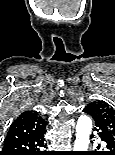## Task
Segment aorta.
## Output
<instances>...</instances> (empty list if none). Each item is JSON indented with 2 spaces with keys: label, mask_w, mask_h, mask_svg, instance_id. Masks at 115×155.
Instances as JSON below:
<instances>
[{
  "label": "aorta",
  "mask_w": 115,
  "mask_h": 155,
  "mask_svg": "<svg viewBox=\"0 0 115 155\" xmlns=\"http://www.w3.org/2000/svg\"><path fill=\"white\" fill-rule=\"evenodd\" d=\"M92 129V121L86 115L80 116L76 125V140L74 151H87L89 146V137Z\"/></svg>",
  "instance_id": "762f6f07"
}]
</instances>
